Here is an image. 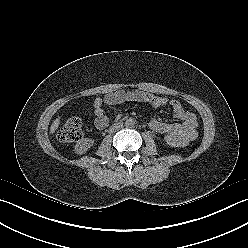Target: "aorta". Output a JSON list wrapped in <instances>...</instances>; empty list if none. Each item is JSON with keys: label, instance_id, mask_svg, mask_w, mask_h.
Listing matches in <instances>:
<instances>
[{"label": "aorta", "instance_id": "1", "mask_svg": "<svg viewBox=\"0 0 248 248\" xmlns=\"http://www.w3.org/2000/svg\"><path fill=\"white\" fill-rule=\"evenodd\" d=\"M124 124L127 128H133L135 126V120L132 118H128L126 119Z\"/></svg>", "mask_w": 248, "mask_h": 248}]
</instances>
